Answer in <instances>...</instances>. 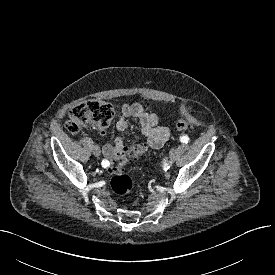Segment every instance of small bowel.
Returning a JSON list of instances; mask_svg holds the SVG:
<instances>
[{
  "instance_id": "small-bowel-1",
  "label": "small bowel",
  "mask_w": 275,
  "mask_h": 275,
  "mask_svg": "<svg viewBox=\"0 0 275 275\" xmlns=\"http://www.w3.org/2000/svg\"><path fill=\"white\" fill-rule=\"evenodd\" d=\"M129 117L139 120L141 132L150 148L159 149L167 142L170 132L167 127L159 126L160 116L158 114L145 109L139 103L124 104L121 108V115L116 123L119 131L127 130ZM102 152L106 158L105 160L110 161L126 156L129 153L121 137H117L113 144L104 145Z\"/></svg>"
}]
</instances>
